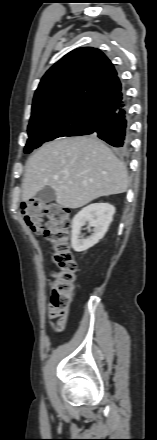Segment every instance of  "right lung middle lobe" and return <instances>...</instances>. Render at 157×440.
Listing matches in <instances>:
<instances>
[{"label":"right lung middle lobe","mask_w":157,"mask_h":440,"mask_svg":"<svg viewBox=\"0 0 157 440\" xmlns=\"http://www.w3.org/2000/svg\"><path fill=\"white\" fill-rule=\"evenodd\" d=\"M87 135L86 124L74 121H30L28 126L27 144L25 153H30L42 143L61 137Z\"/></svg>","instance_id":"obj_1"}]
</instances>
